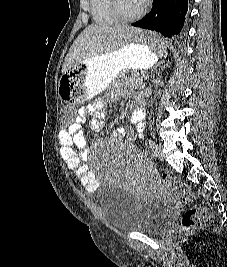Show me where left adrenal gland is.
Returning a JSON list of instances; mask_svg holds the SVG:
<instances>
[{
    "instance_id": "obj_1",
    "label": "left adrenal gland",
    "mask_w": 227,
    "mask_h": 267,
    "mask_svg": "<svg viewBox=\"0 0 227 267\" xmlns=\"http://www.w3.org/2000/svg\"><path fill=\"white\" fill-rule=\"evenodd\" d=\"M164 62H161V64H163ZM163 68H165V66L163 67Z\"/></svg>"
}]
</instances>
